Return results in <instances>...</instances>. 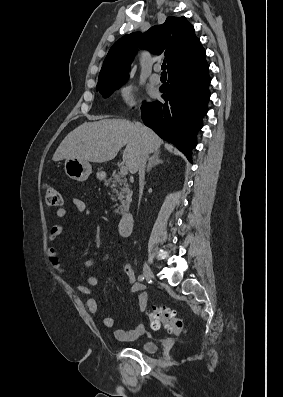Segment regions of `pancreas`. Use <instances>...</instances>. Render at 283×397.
Wrapping results in <instances>:
<instances>
[{"instance_id":"obj_1","label":"pancreas","mask_w":283,"mask_h":397,"mask_svg":"<svg viewBox=\"0 0 283 397\" xmlns=\"http://www.w3.org/2000/svg\"><path fill=\"white\" fill-rule=\"evenodd\" d=\"M109 183H112L110 187L113 190V193L116 194L117 199L121 202V206L118 207L114 212L119 213L123 212V208L128 207L131 203L132 192L129 188V184L127 183L126 178L121 174H115L113 179H108Z\"/></svg>"}]
</instances>
